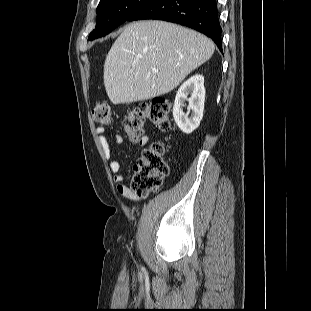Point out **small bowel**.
<instances>
[{"instance_id": "1", "label": "small bowel", "mask_w": 311, "mask_h": 311, "mask_svg": "<svg viewBox=\"0 0 311 311\" xmlns=\"http://www.w3.org/2000/svg\"><path fill=\"white\" fill-rule=\"evenodd\" d=\"M95 133L97 136L101 152L105 157V159L108 161L109 169L113 174V179L116 184L117 191L119 192L120 195L129 200L139 201L141 199V196L134 193L132 189L127 184L124 183V176L120 172V163L113 157L112 146L107 139L104 128L96 127ZM114 141L116 145H122L124 143V138L120 134H116L114 137ZM148 143L149 137L147 135H143L138 140V144L141 147L146 146Z\"/></svg>"}]
</instances>
